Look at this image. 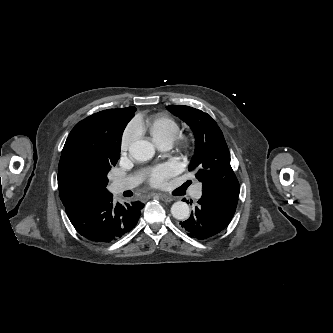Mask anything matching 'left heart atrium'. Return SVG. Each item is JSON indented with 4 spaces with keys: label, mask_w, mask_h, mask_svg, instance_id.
I'll return each mask as SVG.
<instances>
[{
    "label": "left heart atrium",
    "mask_w": 333,
    "mask_h": 333,
    "mask_svg": "<svg viewBox=\"0 0 333 333\" xmlns=\"http://www.w3.org/2000/svg\"><path fill=\"white\" fill-rule=\"evenodd\" d=\"M177 168L172 163H165L153 168L149 173L151 185L159 187L166 183V180L175 175Z\"/></svg>",
    "instance_id": "39dd6f15"
}]
</instances>
